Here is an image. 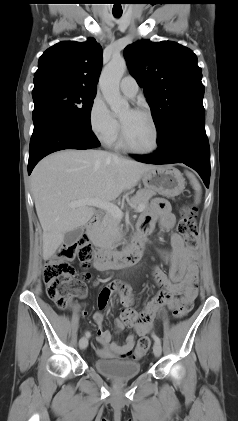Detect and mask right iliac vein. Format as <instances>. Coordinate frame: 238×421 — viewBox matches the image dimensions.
<instances>
[{
	"label": "right iliac vein",
	"instance_id": "obj_1",
	"mask_svg": "<svg viewBox=\"0 0 238 421\" xmlns=\"http://www.w3.org/2000/svg\"><path fill=\"white\" fill-rule=\"evenodd\" d=\"M87 346H88V338L84 336L79 340V347L81 349H86Z\"/></svg>",
	"mask_w": 238,
	"mask_h": 421
}]
</instances>
